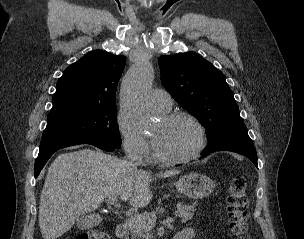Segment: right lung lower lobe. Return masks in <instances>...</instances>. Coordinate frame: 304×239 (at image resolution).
<instances>
[{
  "mask_svg": "<svg viewBox=\"0 0 304 239\" xmlns=\"http://www.w3.org/2000/svg\"><path fill=\"white\" fill-rule=\"evenodd\" d=\"M78 144H90L94 145L105 151H114L117 149L116 147L96 139H88V138H62V139H53V140H45L40 143V150L38 157L35 161V178L39 175L40 171L44 167L45 163L52 156L54 152L59 149L78 145Z\"/></svg>",
  "mask_w": 304,
  "mask_h": 239,
  "instance_id": "1",
  "label": "right lung lower lobe"
}]
</instances>
